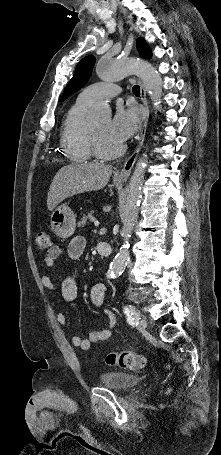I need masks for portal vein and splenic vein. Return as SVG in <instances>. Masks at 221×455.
Returning <instances> with one entry per match:
<instances>
[{"mask_svg":"<svg viewBox=\"0 0 221 455\" xmlns=\"http://www.w3.org/2000/svg\"><path fill=\"white\" fill-rule=\"evenodd\" d=\"M94 225L95 226H99V221L98 220H94Z\"/></svg>","mask_w":221,"mask_h":455,"instance_id":"portal-vein-and-splenic-vein-1","label":"portal vein and splenic vein"}]
</instances>
